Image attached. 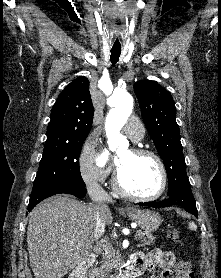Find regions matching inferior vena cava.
I'll use <instances>...</instances> for the list:
<instances>
[{"mask_svg": "<svg viewBox=\"0 0 221 278\" xmlns=\"http://www.w3.org/2000/svg\"><path fill=\"white\" fill-rule=\"evenodd\" d=\"M87 191L93 201L98 204L97 222L95 226V237L98 239L105 232V223L99 214L102 204L112 202V197L98 184L97 179L93 176L87 181Z\"/></svg>", "mask_w": 221, "mask_h": 278, "instance_id": "602c4592", "label": "inferior vena cava"}]
</instances>
